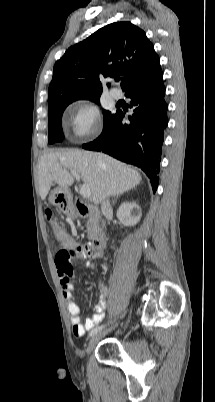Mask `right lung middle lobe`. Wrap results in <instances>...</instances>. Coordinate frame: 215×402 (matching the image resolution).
<instances>
[{"label":"right lung middle lobe","instance_id":"obj_1","mask_svg":"<svg viewBox=\"0 0 215 402\" xmlns=\"http://www.w3.org/2000/svg\"><path fill=\"white\" fill-rule=\"evenodd\" d=\"M99 98L100 95L87 97L83 99H89L91 101L99 103ZM78 99L79 98L63 97L55 99L48 104L49 109L48 142L50 144L63 140L64 135L61 128L62 113L70 103ZM103 114H104V125H105L114 116V114H111V112L105 110H103Z\"/></svg>","mask_w":215,"mask_h":402}]
</instances>
